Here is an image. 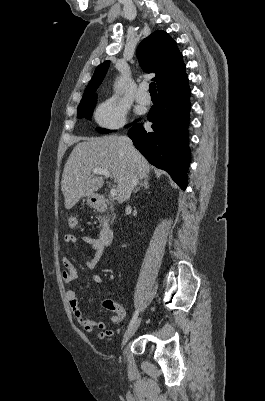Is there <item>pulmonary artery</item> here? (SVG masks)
<instances>
[{"instance_id": "e3ab8cb5", "label": "pulmonary artery", "mask_w": 265, "mask_h": 401, "mask_svg": "<svg viewBox=\"0 0 265 401\" xmlns=\"http://www.w3.org/2000/svg\"><path fill=\"white\" fill-rule=\"evenodd\" d=\"M146 82H141L139 86L145 85ZM136 100L140 103L143 104H149L151 102V97L147 95V91L144 90V88H139V90L136 91Z\"/></svg>"}]
</instances>
